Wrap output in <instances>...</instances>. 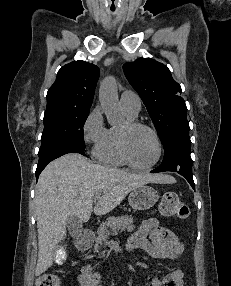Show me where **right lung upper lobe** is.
I'll return each mask as SVG.
<instances>
[{
	"mask_svg": "<svg viewBox=\"0 0 231 286\" xmlns=\"http://www.w3.org/2000/svg\"><path fill=\"white\" fill-rule=\"evenodd\" d=\"M99 73L96 65L81 60L64 65L47 92V108H90Z\"/></svg>",
	"mask_w": 231,
	"mask_h": 286,
	"instance_id": "cb5924a9",
	"label": "right lung upper lobe"
}]
</instances>
